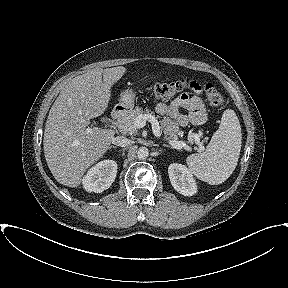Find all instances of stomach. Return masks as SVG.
Wrapping results in <instances>:
<instances>
[{
  "label": "stomach",
  "instance_id": "stomach-1",
  "mask_svg": "<svg viewBox=\"0 0 288 288\" xmlns=\"http://www.w3.org/2000/svg\"><path fill=\"white\" fill-rule=\"evenodd\" d=\"M135 96L136 94L132 89L122 91L116 108L122 112H128L134 107Z\"/></svg>",
  "mask_w": 288,
  "mask_h": 288
}]
</instances>
